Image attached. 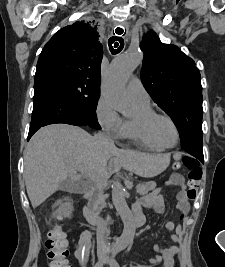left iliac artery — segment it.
<instances>
[{
  "label": "left iliac artery",
  "instance_id": "1",
  "mask_svg": "<svg viewBox=\"0 0 225 267\" xmlns=\"http://www.w3.org/2000/svg\"><path fill=\"white\" fill-rule=\"evenodd\" d=\"M115 255L116 254H114L113 256H112V259H111V265H112V267H120V265H119V263L116 261V259H115Z\"/></svg>",
  "mask_w": 225,
  "mask_h": 267
}]
</instances>
